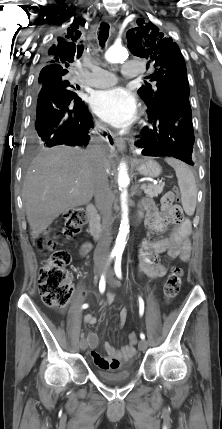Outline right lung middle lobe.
<instances>
[{"mask_svg": "<svg viewBox=\"0 0 222 429\" xmlns=\"http://www.w3.org/2000/svg\"><path fill=\"white\" fill-rule=\"evenodd\" d=\"M45 83H54L57 84L63 88H65L68 92H70L73 95H76L72 88H74L73 85H70L69 81L66 80V75H39L38 78V88L42 86Z\"/></svg>", "mask_w": 222, "mask_h": 429, "instance_id": "dd1d6c3e", "label": "right lung middle lobe"}]
</instances>
